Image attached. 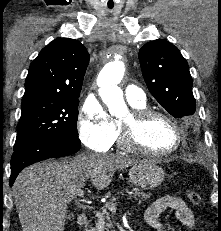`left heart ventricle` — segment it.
<instances>
[{"label":"left heart ventricle","instance_id":"1","mask_svg":"<svg viewBox=\"0 0 221 231\" xmlns=\"http://www.w3.org/2000/svg\"><path fill=\"white\" fill-rule=\"evenodd\" d=\"M127 116L123 117L122 120H125ZM141 141L150 150L157 152L167 151L174 147L176 133L167 121L154 118L145 124L141 134Z\"/></svg>","mask_w":221,"mask_h":231}]
</instances>
